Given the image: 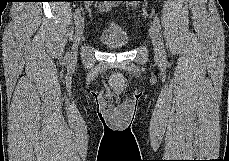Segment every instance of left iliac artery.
I'll list each match as a JSON object with an SVG mask.
<instances>
[{"mask_svg": "<svg viewBox=\"0 0 229 161\" xmlns=\"http://www.w3.org/2000/svg\"><path fill=\"white\" fill-rule=\"evenodd\" d=\"M154 27H155L156 31L159 33L160 37H162L160 34V32H161L160 20L157 16L154 17ZM160 41H161V39H160ZM161 57L164 60L166 59L163 41H161Z\"/></svg>", "mask_w": 229, "mask_h": 161, "instance_id": "44dca946", "label": "left iliac artery"}]
</instances>
